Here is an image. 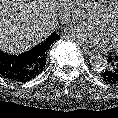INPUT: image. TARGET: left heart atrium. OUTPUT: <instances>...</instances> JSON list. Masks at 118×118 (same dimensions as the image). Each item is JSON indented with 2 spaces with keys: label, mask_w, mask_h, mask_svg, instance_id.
<instances>
[{
  "label": "left heart atrium",
  "mask_w": 118,
  "mask_h": 118,
  "mask_svg": "<svg viewBox=\"0 0 118 118\" xmlns=\"http://www.w3.org/2000/svg\"><path fill=\"white\" fill-rule=\"evenodd\" d=\"M66 34L72 41L90 49L104 50L112 44L106 31L94 24H78L68 29Z\"/></svg>",
  "instance_id": "obj_1"
}]
</instances>
